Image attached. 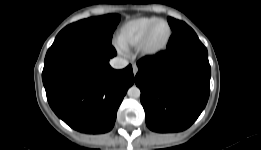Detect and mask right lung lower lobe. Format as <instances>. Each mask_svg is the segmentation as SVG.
Masks as SVG:
<instances>
[{
  "label": "right lung lower lobe",
  "mask_w": 261,
  "mask_h": 150,
  "mask_svg": "<svg viewBox=\"0 0 261 150\" xmlns=\"http://www.w3.org/2000/svg\"><path fill=\"white\" fill-rule=\"evenodd\" d=\"M111 43L65 40L47 51L42 72L47 100L71 128L89 134L110 131L128 88L132 66L114 70Z\"/></svg>",
  "instance_id": "98d812e1"
}]
</instances>
